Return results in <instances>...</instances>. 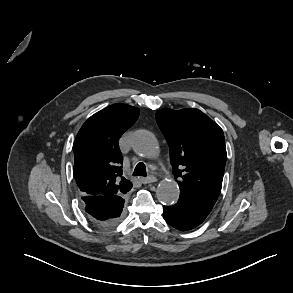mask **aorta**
Listing matches in <instances>:
<instances>
[{
    "label": "aorta",
    "mask_w": 293,
    "mask_h": 293,
    "mask_svg": "<svg viewBox=\"0 0 293 293\" xmlns=\"http://www.w3.org/2000/svg\"><path fill=\"white\" fill-rule=\"evenodd\" d=\"M131 142L134 151L147 159H154L159 154L157 139L147 130L136 131ZM157 196L165 204H174L179 198L177 183L171 179L162 180L157 188Z\"/></svg>",
    "instance_id": "1"
}]
</instances>
